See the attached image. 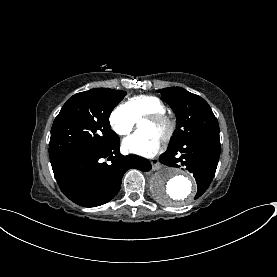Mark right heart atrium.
I'll use <instances>...</instances> for the list:
<instances>
[{
  "instance_id": "obj_1",
  "label": "right heart atrium",
  "mask_w": 277,
  "mask_h": 277,
  "mask_svg": "<svg viewBox=\"0 0 277 277\" xmlns=\"http://www.w3.org/2000/svg\"><path fill=\"white\" fill-rule=\"evenodd\" d=\"M109 122L112 129L120 136L128 135L135 125V119L125 105H119L112 111Z\"/></svg>"
}]
</instances>
